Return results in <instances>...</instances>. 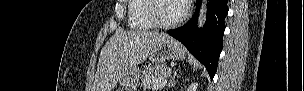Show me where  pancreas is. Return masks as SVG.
Here are the masks:
<instances>
[{"instance_id":"pancreas-1","label":"pancreas","mask_w":304,"mask_h":91,"mask_svg":"<svg viewBox=\"0 0 304 91\" xmlns=\"http://www.w3.org/2000/svg\"><path fill=\"white\" fill-rule=\"evenodd\" d=\"M168 72V68L163 66H152L142 72V86L151 89L155 85L162 83Z\"/></svg>"}]
</instances>
